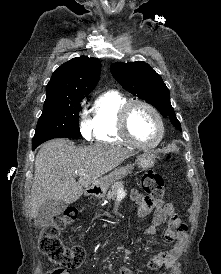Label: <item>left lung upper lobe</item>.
Returning a JSON list of instances; mask_svg holds the SVG:
<instances>
[{"instance_id": "left-lung-upper-lobe-1", "label": "left lung upper lobe", "mask_w": 221, "mask_h": 274, "mask_svg": "<svg viewBox=\"0 0 221 274\" xmlns=\"http://www.w3.org/2000/svg\"><path fill=\"white\" fill-rule=\"evenodd\" d=\"M111 73L125 90L152 104L164 117H170L171 123L181 131L180 122L171 106L169 89L147 63H114Z\"/></svg>"}]
</instances>
